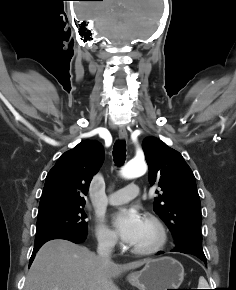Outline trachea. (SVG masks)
Instances as JSON below:
<instances>
[{
	"instance_id": "3493384b",
	"label": "trachea",
	"mask_w": 236,
	"mask_h": 290,
	"mask_svg": "<svg viewBox=\"0 0 236 290\" xmlns=\"http://www.w3.org/2000/svg\"><path fill=\"white\" fill-rule=\"evenodd\" d=\"M113 158L117 166L124 164L126 160V142L124 140L115 142L113 146Z\"/></svg>"
}]
</instances>
